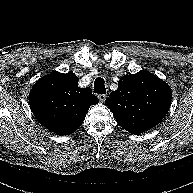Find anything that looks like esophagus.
<instances>
[{
	"label": "esophagus",
	"mask_w": 193,
	"mask_h": 193,
	"mask_svg": "<svg viewBox=\"0 0 193 193\" xmlns=\"http://www.w3.org/2000/svg\"><path fill=\"white\" fill-rule=\"evenodd\" d=\"M106 98H107V95H105V94H99L98 95V99L102 103L105 102Z\"/></svg>",
	"instance_id": "obj_1"
}]
</instances>
